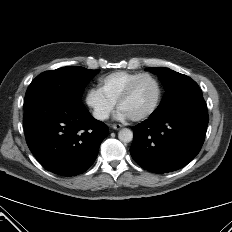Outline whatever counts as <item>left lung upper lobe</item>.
Returning a JSON list of instances; mask_svg holds the SVG:
<instances>
[{
	"label": "left lung upper lobe",
	"instance_id": "5c2ea615",
	"mask_svg": "<svg viewBox=\"0 0 232 232\" xmlns=\"http://www.w3.org/2000/svg\"><path fill=\"white\" fill-rule=\"evenodd\" d=\"M147 70L156 74L160 78L166 91L160 105L155 111L163 110L168 105L181 98L200 91L198 84L184 74L163 67H152L147 68Z\"/></svg>",
	"mask_w": 232,
	"mask_h": 232
}]
</instances>
